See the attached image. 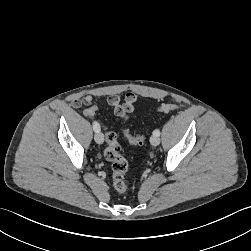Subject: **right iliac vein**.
<instances>
[{
	"label": "right iliac vein",
	"instance_id": "63e3f726",
	"mask_svg": "<svg viewBox=\"0 0 251 251\" xmlns=\"http://www.w3.org/2000/svg\"><path fill=\"white\" fill-rule=\"evenodd\" d=\"M95 141L98 143V144H102L104 142V135L99 131V132H96L95 134Z\"/></svg>",
	"mask_w": 251,
	"mask_h": 251
}]
</instances>
